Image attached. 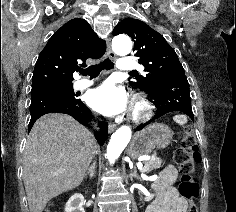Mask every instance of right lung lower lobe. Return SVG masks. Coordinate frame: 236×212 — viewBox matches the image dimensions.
Listing matches in <instances>:
<instances>
[{
    "label": "right lung lower lobe",
    "mask_w": 236,
    "mask_h": 212,
    "mask_svg": "<svg viewBox=\"0 0 236 212\" xmlns=\"http://www.w3.org/2000/svg\"><path fill=\"white\" fill-rule=\"evenodd\" d=\"M30 113L29 131L38 118L48 113L69 114L82 124L88 123L93 118L91 111L81 100L79 102H70L44 90L31 91ZM99 124L100 131L95 132V138L103 145L108 136V124L103 121L99 122Z\"/></svg>",
    "instance_id": "1"
}]
</instances>
